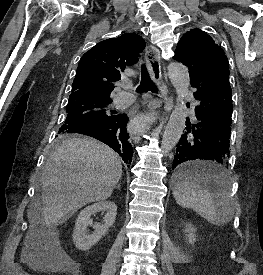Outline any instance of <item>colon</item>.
<instances>
[{
  "instance_id": "obj_1",
  "label": "colon",
  "mask_w": 263,
  "mask_h": 275,
  "mask_svg": "<svg viewBox=\"0 0 263 275\" xmlns=\"http://www.w3.org/2000/svg\"><path fill=\"white\" fill-rule=\"evenodd\" d=\"M52 253L55 255V257H56V260H55V262L57 263V264H64V263H68V261L64 258V255H63V253L60 251V249H58V248H53L52 249Z\"/></svg>"
}]
</instances>
